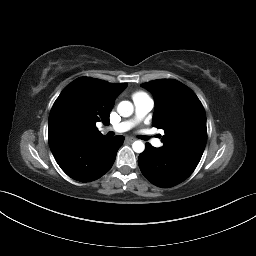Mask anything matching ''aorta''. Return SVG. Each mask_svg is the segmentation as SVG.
<instances>
[{"instance_id":"762f6f07","label":"aorta","mask_w":256,"mask_h":256,"mask_svg":"<svg viewBox=\"0 0 256 256\" xmlns=\"http://www.w3.org/2000/svg\"><path fill=\"white\" fill-rule=\"evenodd\" d=\"M133 111H134L133 104L129 101H122L118 104L117 112L122 117L131 116L133 114ZM132 148H133L134 152L142 153L145 149V144L142 141L137 140V141L133 142Z\"/></svg>"}]
</instances>
